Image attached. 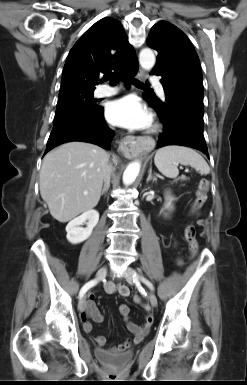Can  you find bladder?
<instances>
[{
	"label": "bladder",
	"instance_id": "31cf9c89",
	"mask_svg": "<svg viewBox=\"0 0 247 385\" xmlns=\"http://www.w3.org/2000/svg\"><path fill=\"white\" fill-rule=\"evenodd\" d=\"M97 353L104 357H111L113 359V357L106 351L98 350ZM131 355H132L131 352H125L123 354H119L114 357H117L118 362H125L130 359Z\"/></svg>",
	"mask_w": 247,
	"mask_h": 385
}]
</instances>
